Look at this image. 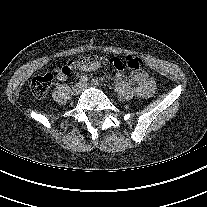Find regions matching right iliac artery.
I'll return each instance as SVG.
<instances>
[{"label":"right iliac artery","mask_w":207,"mask_h":207,"mask_svg":"<svg viewBox=\"0 0 207 207\" xmlns=\"http://www.w3.org/2000/svg\"><path fill=\"white\" fill-rule=\"evenodd\" d=\"M88 81V77L87 76H81V78L79 79V83L84 85L86 84Z\"/></svg>","instance_id":"82829eb1"}]
</instances>
